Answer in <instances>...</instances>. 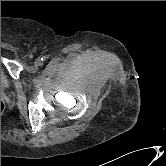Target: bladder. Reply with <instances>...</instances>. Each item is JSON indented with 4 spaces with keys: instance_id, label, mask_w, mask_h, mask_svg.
Here are the masks:
<instances>
[{
    "instance_id": "bladder-1",
    "label": "bladder",
    "mask_w": 166,
    "mask_h": 166,
    "mask_svg": "<svg viewBox=\"0 0 166 166\" xmlns=\"http://www.w3.org/2000/svg\"><path fill=\"white\" fill-rule=\"evenodd\" d=\"M10 87V81L8 77L1 71V91Z\"/></svg>"
}]
</instances>
